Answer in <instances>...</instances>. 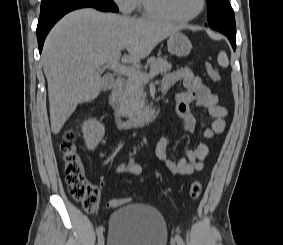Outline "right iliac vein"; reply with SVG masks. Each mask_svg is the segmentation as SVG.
<instances>
[{
  "label": "right iliac vein",
  "instance_id": "1",
  "mask_svg": "<svg viewBox=\"0 0 283 245\" xmlns=\"http://www.w3.org/2000/svg\"><path fill=\"white\" fill-rule=\"evenodd\" d=\"M98 245H104V236L102 234L98 238Z\"/></svg>",
  "mask_w": 283,
  "mask_h": 245
}]
</instances>
